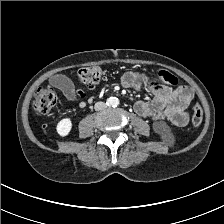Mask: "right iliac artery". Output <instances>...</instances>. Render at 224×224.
Wrapping results in <instances>:
<instances>
[{
	"mask_svg": "<svg viewBox=\"0 0 224 224\" xmlns=\"http://www.w3.org/2000/svg\"><path fill=\"white\" fill-rule=\"evenodd\" d=\"M106 104H107L108 106H110V105L112 104V101H111L110 99H108L107 102H106Z\"/></svg>",
	"mask_w": 224,
	"mask_h": 224,
	"instance_id": "obj_1",
	"label": "right iliac artery"
}]
</instances>
